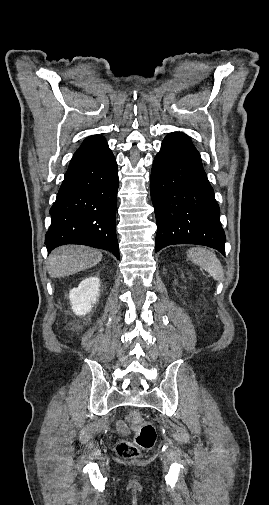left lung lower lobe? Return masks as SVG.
Instances as JSON below:
<instances>
[{
    "label": "left lung lower lobe",
    "instance_id": "left-lung-lower-lobe-1",
    "mask_svg": "<svg viewBox=\"0 0 269 505\" xmlns=\"http://www.w3.org/2000/svg\"><path fill=\"white\" fill-rule=\"evenodd\" d=\"M150 192L157 222L155 252L174 244H197L225 255V233L201 157L181 132L168 134L156 155Z\"/></svg>",
    "mask_w": 269,
    "mask_h": 505
}]
</instances>
